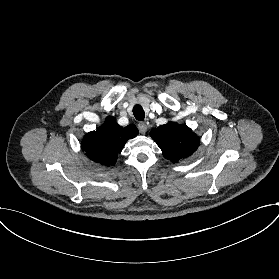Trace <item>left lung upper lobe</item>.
Returning <instances> with one entry per match:
<instances>
[{
	"mask_svg": "<svg viewBox=\"0 0 279 279\" xmlns=\"http://www.w3.org/2000/svg\"><path fill=\"white\" fill-rule=\"evenodd\" d=\"M166 159L173 163L191 156L199 145V138L185 124L169 122L150 132Z\"/></svg>",
	"mask_w": 279,
	"mask_h": 279,
	"instance_id": "1",
	"label": "left lung upper lobe"
}]
</instances>
